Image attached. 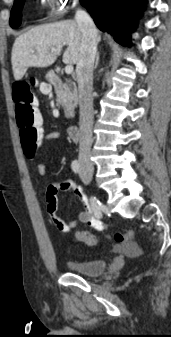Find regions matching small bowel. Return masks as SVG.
<instances>
[{
    "mask_svg": "<svg viewBox=\"0 0 171 337\" xmlns=\"http://www.w3.org/2000/svg\"><path fill=\"white\" fill-rule=\"evenodd\" d=\"M61 138V134L58 131H53L44 135L41 139L42 144H46L51 140H58ZM38 174L44 177L47 174V167L45 163L40 162L37 166ZM60 192H72L74 196L79 198L82 202L84 209L78 213L77 217L73 220L66 221L57 215L58 200L57 196ZM46 210L53 225L63 233L71 232L78 224L83 223L91 226L95 230H102V222L95 215L92 206L89 203L88 196L83 191L82 187L75 184L72 180H64L58 183H52L48 185L46 191ZM81 241L77 235L72 238L73 243Z\"/></svg>",
    "mask_w": 171,
    "mask_h": 337,
    "instance_id": "1",
    "label": "small bowel"
}]
</instances>
